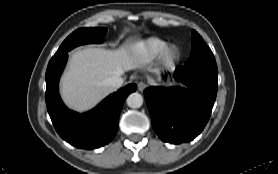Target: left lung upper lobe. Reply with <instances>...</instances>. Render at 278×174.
I'll return each mask as SVG.
<instances>
[{
	"mask_svg": "<svg viewBox=\"0 0 278 174\" xmlns=\"http://www.w3.org/2000/svg\"><path fill=\"white\" fill-rule=\"evenodd\" d=\"M191 54L185 65H203L212 70H217V64L209 46L203 41L202 37L192 30Z\"/></svg>",
	"mask_w": 278,
	"mask_h": 174,
	"instance_id": "1",
	"label": "left lung upper lobe"
}]
</instances>
